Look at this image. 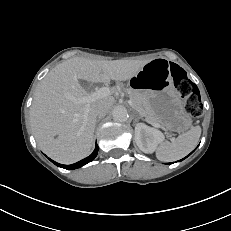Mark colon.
<instances>
[{
    "label": "colon",
    "instance_id": "colon-1",
    "mask_svg": "<svg viewBox=\"0 0 231 231\" xmlns=\"http://www.w3.org/2000/svg\"><path fill=\"white\" fill-rule=\"evenodd\" d=\"M171 71L179 93L186 98L185 111L191 116H200L203 108L196 86L188 79L185 71L181 67L175 64L171 65Z\"/></svg>",
    "mask_w": 231,
    "mask_h": 231
}]
</instances>
